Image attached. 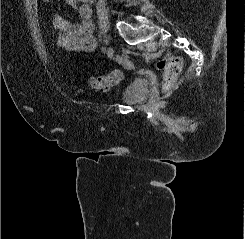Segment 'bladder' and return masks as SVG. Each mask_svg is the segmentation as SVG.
<instances>
[{
    "instance_id": "1",
    "label": "bladder",
    "mask_w": 245,
    "mask_h": 239,
    "mask_svg": "<svg viewBox=\"0 0 245 239\" xmlns=\"http://www.w3.org/2000/svg\"><path fill=\"white\" fill-rule=\"evenodd\" d=\"M149 91L150 84L133 81L123 88L120 98L126 104H139L147 98Z\"/></svg>"
}]
</instances>
